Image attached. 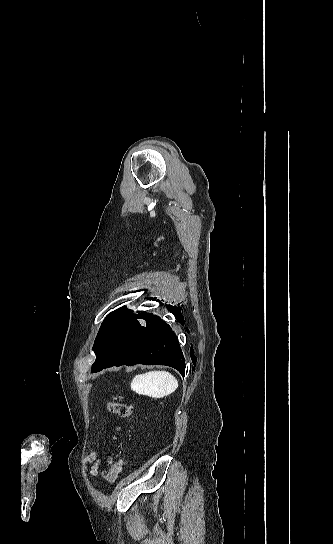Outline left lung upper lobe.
<instances>
[{"instance_id": "obj_1", "label": "left lung upper lobe", "mask_w": 333, "mask_h": 544, "mask_svg": "<svg viewBox=\"0 0 333 544\" xmlns=\"http://www.w3.org/2000/svg\"><path fill=\"white\" fill-rule=\"evenodd\" d=\"M132 319L134 322H136L139 326V322L137 321V319H143L145 322H146V326L149 328V327H152L154 326L156 323H158L161 319L158 315H153V314H150V313H147V312H141L139 314H132V310H128L126 307H122V308H119L113 312H111L107 317L106 319L104 320L103 322V325H102V328L96 338V341H95V345H94V351L96 353V360L92 366V369L97 367L98 365H100L104 359V356H105V351L103 350L102 346H101V340L103 338V335H104V329H103V326L104 324L110 322V321H114V320H124V319Z\"/></svg>"}]
</instances>
